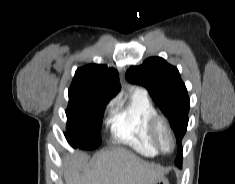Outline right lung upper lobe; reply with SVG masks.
Here are the masks:
<instances>
[{"label":"right lung upper lobe","instance_id":"1","mask_svg":"<svg viewBox=\"0 0 235 184\" xmlns=\"http://www.w3.org/2000/svg\"><path fill=\"white\" fill-rule=\"evenodd\" d=\"M121 89L117 70L102 64H89L75 72L69 93H80L92 106L107 105Z\"/></svg>","mask_w":235,"mask_h":184}]
</instances>
